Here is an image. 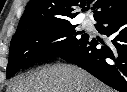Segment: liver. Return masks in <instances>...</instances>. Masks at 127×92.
<instances>
[{"label":"liver","mask_w":127,"mask_h":92,"mask_svg":"<svg viewBox=\"0 0 127 92\" xmlns=\"http://www.w3.org/2000/svg\"><path fill=\"white\" fill-rule=\"evenodd\" d=\"M7 92H113L85 70L72 65L44 66L21 77Z\"/></svg>","instance_id":"liver-1"}]
</instances>
